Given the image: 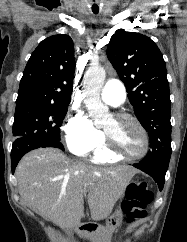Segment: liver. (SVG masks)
<instances>
[{"instance_id":"liver-1","label":"liver","mask_w":187,"mask_h":242,"mask_svg":"<svg viewBox=\"0 0 187 242\" xmlns=\"http://www.w3.org/2000/svg\"><path fill=\"white\" fill-rule=\"evenodd\" d=\"M136 173L128 166L92 167L54 148L29 152L16 168L22 201L63 228L80 225L85 192L91 218H107Z\"/></svg>"}]
</instances>
